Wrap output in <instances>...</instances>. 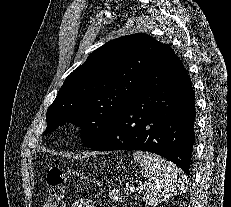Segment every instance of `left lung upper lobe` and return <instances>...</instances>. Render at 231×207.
<instances>
[{"label": "left lung upper lobe", "instance_id": "5c2ea615", "mask_svg": "<svg viewBox=\"0 0 231 207\" xmlns=\"http://www.w3.org/2000/svg\"><path fill=\"white\" fill-rule=\"evenodd\" d=\"M168 44L146 34L107 42L64 81L46 114L48 134L64 123L81 128L84 146L92 147L116 118L146 88V81Z\"/></svg>", "mask_w": 231, "mask_h": 207}]
</instances>
